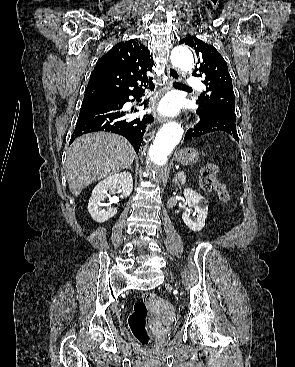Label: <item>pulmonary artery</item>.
<instances>
[{
    "mask_svg": "<svg viewBox=\"0 0 295 367\" xmlns=\"http://www.w3.org/2000/svg\"><path fill=\"white\" fill-rule=\"evenodd\" d=\"M186 82H187V86L191 88H196L200 90L204 89L203 83L198 78L189 77Z\"/></svg>",
    "mask_w": 295,
    "mask_h": 367,
    "instance_id": "obj_1",
    "label": "pulmonary artery"
}]
</instances>
